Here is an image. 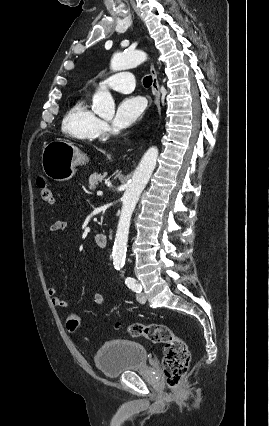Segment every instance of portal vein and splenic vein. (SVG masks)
Returning a JSON list of instances; mask_svg holds the SVG:
<instances>
[{
    "label": "portal vein and splenic vein",
    "mask_w": 269,
    "mask_h": 426,
    "mask_svg": "<svg viewBox=\"0 0 269 426\" xmlns=\"http://www.w3.org/2000/svg\"><path fill=\"white\" fill-rule=\"evenodd\" d=\"M102 194H103V192H102V191H98V192H97V195H98V196H101Z\"/></svg>",
    "instance_id": "18ae733b"
}]
</instances>
